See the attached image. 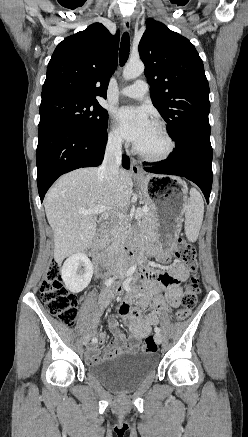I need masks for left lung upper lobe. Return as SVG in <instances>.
<instances>
[{"mask_svg": "<svg viewBox=\"0 0 248 437\" xmlns=\"http://www.w3.org/2000/svg\"><path fill=\"white\" fill-rule=\"evenodd\" d=\"M146 23L139 55L153 105L176 141L189 128L209 124V84L202 59L187 38L153 19Z\"/></svg>", "mask_w": 248, "mask_h": 437, "instance_id": "obj_1", "label": "left lung upper lobe"}]
</instances>
